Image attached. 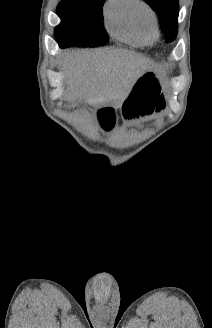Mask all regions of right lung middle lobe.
Returning <instances> with one entry per match:
<instances>
[{
  "label": "right lung middle lobe",
  "mask_w": 212,
  "mask_h": 328,
  "mask_svg": "<svg viewBox=\"0 0 212 328\" xmlns=\"http://www.w3.org/2000/svg\"><path fill=\"white\" fill-rule=\"evenodd\" d=\"M105 0H62L57 7L61 24L55 29L61 47H96L109 41L103 25Z\"/></svg>",
  "instance_id": "1"
}]
</instances>
